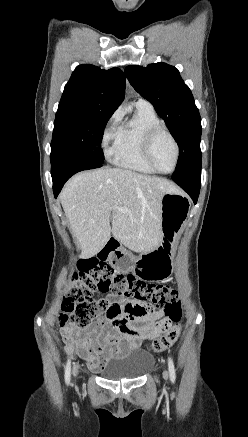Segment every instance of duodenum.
Here are the masks:
<instances>
[{"label":"duodenum","mask_w":248,"mask_h":437,"mask_svg":"<svg viewBox=\"0 0 248 437\" xmlns=\"http://www.w3.org/2000/svg\"><path fill=\"white\" fill-rule=\"evenodd\" d=\"M119 247L120 242L115 237H110L104 248L97 250V255H100V257H112Z\"/></svg>","instance_id":"1"}]
</instances>
